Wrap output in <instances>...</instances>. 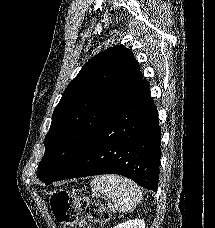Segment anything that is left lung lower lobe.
Returning a JSON list of instances; mask_svg holds the SVG:
<instances>
[{
	"label": "left lung lower lobe",
	"mask_w": 215,
	"mask_h": 228,
	"mask_svg": "<svg viewBox=\"0 0 215 228\" xmlns=\"http://www.w3.org/2000/svg\"><path fill=\"white\" fill-rule=\"evenodd\" d=\"M161 129L149 84L143 79L134 93L99 129L72 164L54 181L118 174L157 191Z\"/></svg>",
	"instance_id": "left-lung-lower-lobe-1"
}]
</instances>
